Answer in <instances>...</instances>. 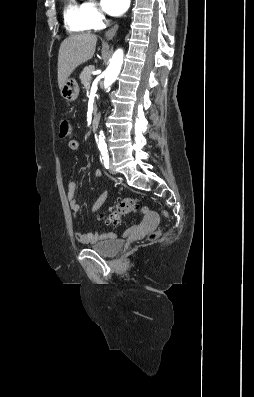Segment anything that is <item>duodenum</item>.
Masks as SVG:
<instances>
[{
  "instance_id": "1",
  "label": "duodenum",
  "mask_w": 254,
  "mask_h": 397,
  "mask_svg": "<svg viewBox=\"0 0 254 397\" xmlns=\"http://www.w3.org/2000/svg\"><path fill=\"white\" fill-rule=\"evenodd\" d=\"M99 120H100L99 114L95 113L93 115L92 122H91V128L93 131L97 130L98 125H99Z\"/></svg>"
}]
</instances>
